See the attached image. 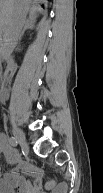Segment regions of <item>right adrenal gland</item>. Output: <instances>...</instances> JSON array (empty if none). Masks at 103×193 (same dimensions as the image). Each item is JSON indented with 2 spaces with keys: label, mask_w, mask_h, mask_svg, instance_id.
Wrapping results in <instances>:
<instances>
[{
  "label": "right adrenal gland",
  "mask_w": 103,
  "mask_h": 193,
  "mask_svg": "<svg viewBox=\"0 0 103 193\" xmlns=\"http://www.w3.org/2000/svg\"><path fill=\"white\" fill-rule=\"evenodd\" d=\"M32 27H33L32 23H31L30 21H27V22L25 23L24 29H23V31H22V33H21L20 39L23 37L25 31H26L27 29L32 28ZM19 49H20V48L18 47L17 50H19Z\"/></svg>",
  "instance_id": "2a0ac1e0"
}]
</instances>
